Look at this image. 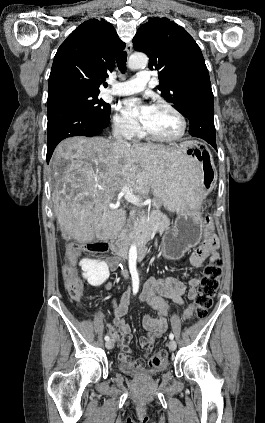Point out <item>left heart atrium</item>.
<instances>
[{"mask_svg": "<svg viewBox=\"0 0 265 423\" xmlns=\"http://www.w3.org/2000/svg\"><path fill=\"white\" fill-rule=\"evenodd\" d=\"M139 103H140V101L138 99H135V98L127 99L123 102V111L127 115H133V113H134L136 107L139 105ZM150 109H151V106L147 105L140 112L139 118L142 121V123L146 119V117L148 116Z\"/></svg>", "mask_w": 265, "mask_h": 423, "instance_id": "1", "label": "left heart atrium"}]
</instances>
